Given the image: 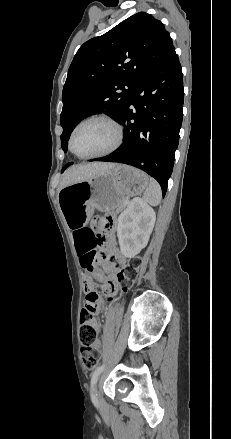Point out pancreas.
<instances>
[{"instance_id": "1", "label": "pancreas", "mask_w": 231, "mask_h": 439, "mask_svg": "<svg viewBox=\"0 0 231 439\" xmlns=\"http://www.w3.org/2000/svg\"><path fill=\"white\" fill-rule=\"evenodd\" d=\"M126 203H127V202H125V203L122 205L121 209H123V208L125 207ZM121 209H120V210H121Z\"/></svg>"}]
</instances>
